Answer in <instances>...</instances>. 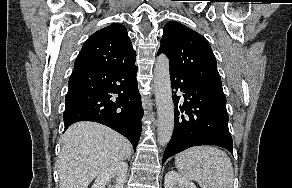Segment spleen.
I'll use <instances>...</instances> for the list:
<instances>
[{
	"label": "spleen",
	"mask_w": 292,
	"mask_h": 188,
	"mask_svg": "<svg viewBox=\"0 0 292 188\" xmlns=\"http://www.w3.org/2000/svg\"><path fill=\"white\" fill-rule=\"evenodd\" d=\"M177 170L201 188H233V166L228 155L217 147L196 146L175 157Z\"/></svg>",
	"instance_id": "obj_1"
}]
</instances>
